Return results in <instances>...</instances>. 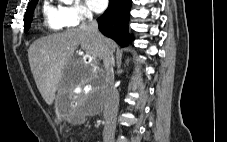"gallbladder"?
<instances>
[{
    "instance_id": "1",
    "label": "gallbladder",
    "mask_w": 227,
    "mask_h": 142,
    "mask_svg": "<svg viewBox=\"0 0 227 142\" xmlns=\"http://www.w3.org/2000/svg\"><path fill=\"white\" fill-rule=\"evenodd\" d=\"M73 93H60L59 98L55 101V111L58 114L73 113Z\"/></svg>"
}]
</instances>
